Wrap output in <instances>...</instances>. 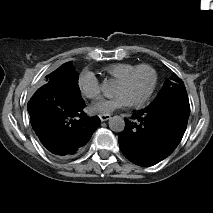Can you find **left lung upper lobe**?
<instances>
[{
    "label": "left lung upper lobe",
    "mask_w": 213,
    "mask_h": 213,
    "mask_svg": "<svg viewBox=\"0 0 213 213\" xmlns=\"http://www.w3.org/2000/svg\"><path fill=\"white\" fill-rule=\"evenodd\" d=\"M164 104H173L186 112H190L185 86L176 74L165 81L160 93L148 107H159Z\"/></svg>",
    "instance_id": "1"
}]
</instances>
